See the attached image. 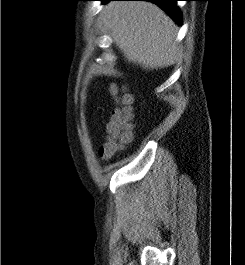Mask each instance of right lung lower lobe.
<instances>
[{"label":"right lung lower lobe","mask_w":245,"mask_h":265,"mask_svg":"<svg viewBox=\"0 0 245 265\" xmlns=\"http://www.w3.org/2000/svg\"><path fill=\"white\" fill-rule=\"evenodd\" d=\"M99 1L107 3L108 1H114V0H99ZM124 1H150L155 4H158L176 21V23L181 24V14L179 12L178 7L176 6V2L179 0H124Z\"/></svg>","instance_id":"obj_1"}]
</instances>
